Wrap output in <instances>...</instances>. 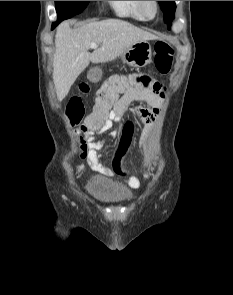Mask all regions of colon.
Instances as JSON below:
<instances>
[{
	"mask_svg": "<svg viewBox=\"0 0 233 295\" xmlns=\"http://www.w3.org/2000/svg\"><path fill=\"white\" fill-rule=\"evenodd\" d=\"M154 62L157 70L166 74L171 70L174 50L167 41H157L154 46ZM88 85L81 84L80 91L87 93ZM164 86L146 73H132L118 75L108 79L98 91L92 112L85 117L82 128L85 131L99 128L110 112L112 104L124 96H136L143 93L157 94L164 97ZM66 114L72 123H79L84 119L85 107L80 97H72L66 107ZM132 133V125L125 128L126 139ZM113 169L116 173H122L119 163L115 160Z\"/></svg>",
	"mask_w": 233,
	"mask_h": 295,
	"instance_id": "obj_1",
	"label": "colon"
}]
</instances>
